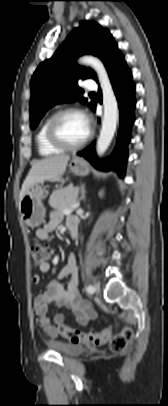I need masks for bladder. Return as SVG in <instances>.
<instances>
[{
    "mask_svg": "<svg viewBox=\"0 0 168 406\" xmlns=\"http://www.w3.org/2000/svg\"><path fill=\"white\" fill-rule=\"evenodd\" d=\"M56 350L58 353L65 357H74L80 355L83 352L84 348L80 345L66 344L57 346Z\"/></svg>",
    "mask_w": 168,
    "mask_h": 406,
    "instance_id": "bladder-1",
    "label": "bladder"
}]
</instances>
